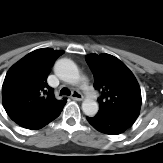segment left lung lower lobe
<instances>
[{
	"mask_svg": "<svg viewBox=\"0 0 163 163\" xmlns=\"http://www.w3.org/2000/svg\"><path fill=\"white\" fill-rule=\"evenodd\" d=\"M86 119L96 130L111 135L122 133L135 122V119L131 118L104 115L86 117Z\"/></svg>",
	"mask_w": 163,
	"mask_h": 163,
	"instance_id": "1",
	"label": "left lung lower lobe"
}]
</instances>
